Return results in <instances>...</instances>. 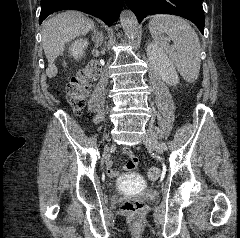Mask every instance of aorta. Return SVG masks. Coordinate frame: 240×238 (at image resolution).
<instances>
[{"mask_svg":"<svg viewBox=\"0 0 240 238\" xmlns=\"http://www.w3.org/2000/svg\"><path fill=\"white\" fill-rule=\"evenodd\" d=\"M120 23L128 39L134 40L139 31L135 14L130 10H124L120 14Z\"/></svg>","mask_w":240,"mask_h":238,"instance_id":"1","label":"aorta"}]
</instances>
